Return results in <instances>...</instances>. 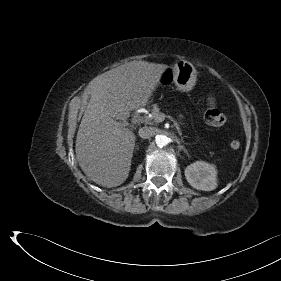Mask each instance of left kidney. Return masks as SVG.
Listing matches in <instances>:
<instances>
[{"instance_id":"obj_1","label":"left kidney","mask_w":281,"mask_h":281,"mask_svg":"<svg viewBox=\"0 0 281 281\" xmlns=\"http://www.w3.org/2000/svg\"><path fill=\"white\" fill-rule=\"evenodd\" d=\"M187 182L195 189L212 191L217 187V171L214 165L196 161L185 169Z\"/></svg>"}]
</instances>
